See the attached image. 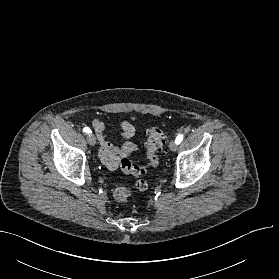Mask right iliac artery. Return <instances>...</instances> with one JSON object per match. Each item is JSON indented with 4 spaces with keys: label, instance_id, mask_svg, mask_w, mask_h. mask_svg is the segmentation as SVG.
I'll return each mask as SVG.
<instances>
[{
    "label": "right iliac artery",
    "instance_id": "obj_1",
    "mask_svg": "<svg viewBox=\"0 0 279 279\" xmlns=\"http://www.w3.org/2000/svg\"><path fill=\"white\" fill-rule=\"evenodd\" d=\"M83 132L88 134V133H90V132H91V130H90V128L85 127V128L83 129Z\"/></svg>",
    "mask_w": 279,
    "mask_h": 279
}]
</instances>
